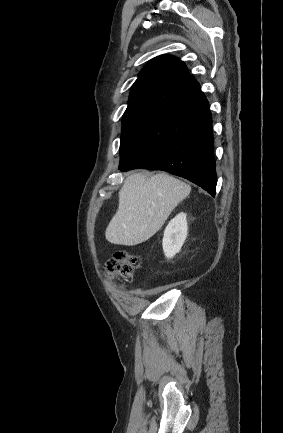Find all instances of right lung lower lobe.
<instances>
[{
	"instance_id": "1",
	"label": "right lung lower lobe",
	"mask_w": 283,
	"mask_h": 433,
	"mask_svg": "<svg viewBox=\"0 0 283 433\" xmlns=\"http://www.w3.org/2000/svg\"><path fill=\"white\" fill-rule=\"evenodd\" d=\"M212 117L201 92L151 120L120 154L119 169L162 170L216 191Z\"/></svg>"
}]
</instances>
